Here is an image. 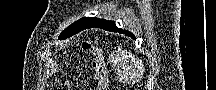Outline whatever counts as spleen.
I'll use <instances>...</instances> for the list:
<instances>
[{"label":"spleen","mask_w":216,"mask_h":90,"mask_svg":"<svg viewBox=\"0 0 216 90\" xmlns=\"http://www.w3.org/2000/svg\"><path fill=\"white\" fill-rule=\"evenodd\" d=\"M134 60H136V58H134ZM140 60H136V64H139Z\"/></svg>","instance_id":"3e777b00"}]
</instances>
